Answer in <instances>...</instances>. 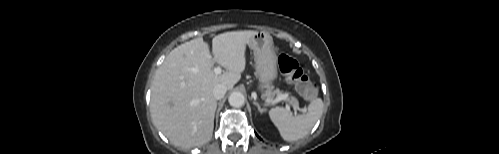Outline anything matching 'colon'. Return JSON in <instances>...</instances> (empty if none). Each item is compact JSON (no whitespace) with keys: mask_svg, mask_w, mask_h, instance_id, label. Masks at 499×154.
<instances>
[{"mask_svg":"<svg viewBox=\"0 0 499 154\" xmlns=\"http://www.w3.org/2000/svg\"><path fill=\"white\" fill-rule=\"evenodd\" d=\"M278 66L283 75L293 84L300 94L307 100H313L318 95V85L309 80L303 72L299 63L292 57L281 54L278 58Z\"/></svg>","mask_w":499,"mask_h":154,"instance_id":"1","label":"colon"}]
</instances>
